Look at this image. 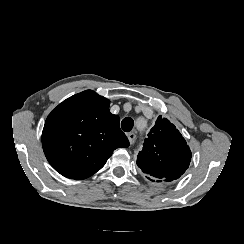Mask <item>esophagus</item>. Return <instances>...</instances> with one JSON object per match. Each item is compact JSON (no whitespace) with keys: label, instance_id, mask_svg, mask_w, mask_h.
<instances>
[{"label":"esophagus","instance_id":"esophagus-1","mask_svg":"<svg viewBox=\"0 0 244 244\" xmlns=\"http://www.w3.org/2000/svg\"><path fill=\"white\" fill-rule=\"evenodd\" d=\"M128 139L130 144H134L136 141V134L134 132L128 133Z\"/></svg>","mask_w":244,"mask_h":244}]
</instances>
